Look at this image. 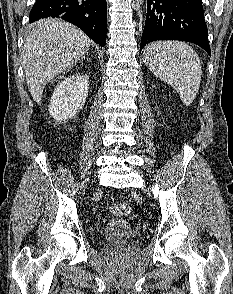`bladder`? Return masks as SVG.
Wrapping results in <instances>:
<instances>
[{
    "instance_id": "bladder-1",
    "label": "bladder",
    "mask_w": 233,
    "mask_h": 294,
    "mask_svg": "<svg viewBox=\"0 0 233 294\" xmlns=\"http://www.w3.org/2000/svg\"><path fill=\"white\" fill-rule=\"evenodd\" d=\"M133 228L130 223L122 219L109 221L103 229V237L112 244H123L131 239Z\"/></svg>"
}]
</instances>
